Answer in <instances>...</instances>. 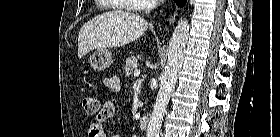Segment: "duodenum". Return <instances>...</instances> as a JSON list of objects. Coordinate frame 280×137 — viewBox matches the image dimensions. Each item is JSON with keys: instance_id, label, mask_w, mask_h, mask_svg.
I'll return each instance as SVG.
<instances>
[{"instance_id": "410a0bca", "label": "duodenum", "mask_w": 280, "mask_h": 137, "mask_svg": "<svg viewBox=\"0 0 280 137\" xmlns=\"http://www.w3.org/2000/svg\"><path fill=\"white\" fill-rule=\"evenodd\" d=\"M138 125L141 130H147L149 125V117L147 115L141 116Z\"/></svg>"}]
</instances>
